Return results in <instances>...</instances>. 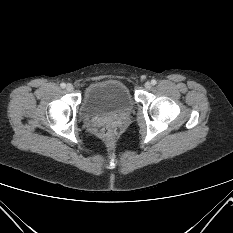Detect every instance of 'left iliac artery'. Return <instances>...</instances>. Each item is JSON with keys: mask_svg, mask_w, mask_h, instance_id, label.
Listing matches in <instances>:
<instances>
[{"mask_svg": "<svg viewBox=\"0 0 233 233\" xmlns=\"http://www.w3.org/2000/svg\"><path fill=\"white\" fill-rule=\"evenodd\" d=\"M151 84L152 85H156L157 84V81L155 79L151 80Z\"/></svg>", "mask_w": 233, "mask_h": 233, "instance_id": "obj_1", "label": "left iliac artery"}]
</instances>
